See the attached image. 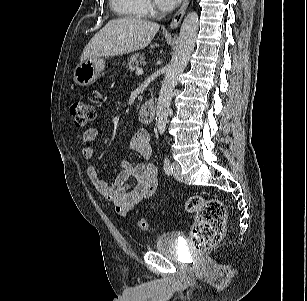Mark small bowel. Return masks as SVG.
<instances>
[{"label":"small bowel","instance_id":"1","mask_svg":"<svg viewBox=\"0 0 307 301\" xmlns=\"http://www.w3.org/2000/svg\"><path fill=\"white\" fill-rule=\"evenodd\" d=\"M99 136L100 132L96 128H90L83 133L82 154L85 159L93 157V144ZM131 148L145 162L133 165L128 159H124L122 170L112 183L101 179L95 167L87 168V175L92 185L103 198L113 204L116 213L122 218H125L137 204L152 197L158 190L157 170L150 162L152 157L150 134L145 128H140L134 133Z\"/></svg>","mask_w":307,"mask_h":301}]
</instances>
